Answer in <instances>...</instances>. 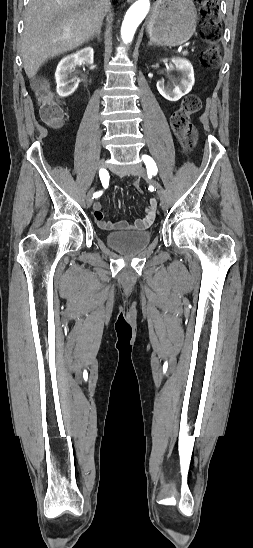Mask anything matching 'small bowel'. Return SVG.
Returning <instances> with one entry per match:
<instances>
[{
  "instance_id": "small-bowel-1",
  "label": "small bowel",
  "mask_w": 253,
  "mask_h": 548,
  "mask_svg": "<svg viewBox=\"0 0 253 548\" xmlns=\"http://www.w3.org/2000/svg\"><path fill=\"white\" fill-rule=\"evenodd\" d=\"M156 208L157 200L155 198H151L149 201V206L145 210L144 216L136 219L133 223H128L125 220H120L117 222L105 220L101 203L96 202L93 206L95 220L97 224L105 230H144L152 224L155 218Z\"/></svg>"
}]
</instances>
